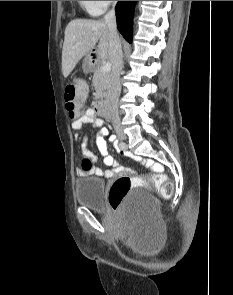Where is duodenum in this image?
Listing matches in <instances>:
<instances>
[{
  "label": "duodenum",
  "mask_w": 233,
  "mask_h": 295,
  "mask_svg": "<svg viewBox=\"0 0 233 295\" xmlns=\"http://www.w3.org/2000/svg\"><path fill=\"white\" fill-rule=\"evenodd\" d=\"M93 109L98 115H100L102 117H108L109 116L108 106H107L106 102L103 99L96 100L94 102Z\"/></svg>",
  "instance_id": "obj_1"
}]
</instances>
